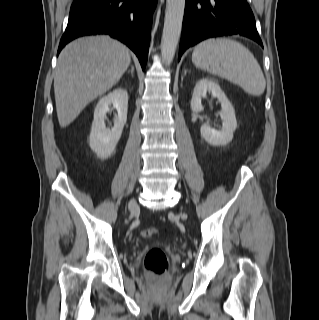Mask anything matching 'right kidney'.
<instances>
[{
  "label": "right kidney",
  "instance_id": "ca27d5eb",
  "mask_svg": "<svg viewBox=\"0 0 319 320\" xmlns=\"http://www.w3.org/2000/svg\"><path fill=\"white\" fill-rule=\"evenodd\" d=\"M111 104L118 115L114 118V126L109 129L104 120ZM127 110L128 94L123 88H117L99 100L89 137L90 148L99 158L106 159L114 152L127 121Z\"/></svg>",
  "mask_w": 319,
  "mask_h": 320
}]
</instances>
